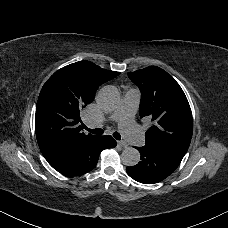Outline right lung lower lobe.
Masks as SVG:
<instances>
[{
	"label": "right lung lower lobe",
	"mask_w": 228,
	"mask_h": 228,
	"mask_svg": "<svg viewBox=\"0 0 228 228\" xmlns=\"http://www.w3.org/2000/svg\"><path fill=\"white\" fill-rule=\"evenodd\" d=\"M116 144L111 136H96L71 144L46 160L55 170L66 176L81 175L96 166L102 150L113 148Z\"/></svg>",
	"instance_id": "98d812e1"
}]
</instances>
